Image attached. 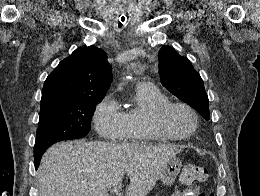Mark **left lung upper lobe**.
Instances as JSON below:
<instances>
[{
	"mask_svg": "<svg viewBox=\"0 0 260 196\" xmlns=\"http://www.w3.org/2000/svg\"><path fill=\"white\" fill-rule=\"evenodd\" d=\"M159 60L162 85L209 120L208 96L203 80L194 70L191 62L169 46L160 49Z\"/></svg>",
	"mask_w": 260,
	"mask_h": 196,
	"instance_id": "1",
	"label": "left lung upper lobe"
}]
</instances>
